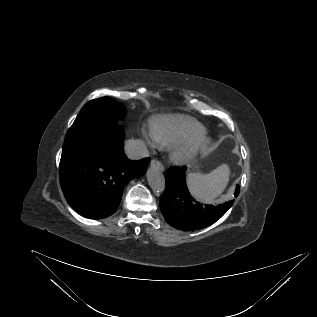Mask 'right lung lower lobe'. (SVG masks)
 <instances>
[{
	"label": "right lung lower lobe",
	"mask_w": 317,
	"mask_h": 317,
	"mask_svg": "<svg viewBox=\"0 0 317 317\" xmlns=\"http://www.w3.org/2000/svg\"><path fill=\"white\" fill-rule=\"evenodd\" d=\"M123 138L121 127L103 126L62 152L60 184L67 202L80 215L108 217L118 208L126 184L145 174L150 159H128Z\"/></svg>",
	"instance_id": "1"
}]
</instances>
